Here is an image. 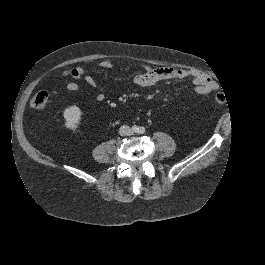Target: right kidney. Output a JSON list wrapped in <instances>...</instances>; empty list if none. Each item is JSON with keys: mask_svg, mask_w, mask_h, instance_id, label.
I'll return each instance as SVG.
<instances>
[{"mask_svg": "<svg viewBox=\"0 0 265 265\" xmlns=\"http://www.w3.org/2000/svg\"><path fill=\"white\" fill-rule=\"evenodd\" d=\"M64 118L66 119L65 126L69 129L75 130L81 118L80 108L77 106H70L64 111Z\"/></svg>", "mask_w": 265, "mask_h": 265, "instance_id": "right-kidney-1", "label": "right kidney"}]
</instances>
